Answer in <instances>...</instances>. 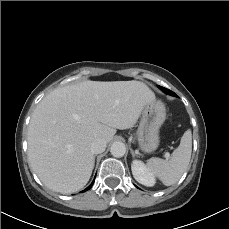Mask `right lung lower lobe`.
I'll return each instance as SVG.
<instances>
[{
    "label": "right lung lower lobe",
    "instance_id": "98d812e1",
    "mask_svg": "<svg viewBox=\"0 0 229 229\" xmlns=\"http://www.w3.org/2000/svg\"><path fill=\"white\" fill-rule=\"evenodd\" d=\"M93 183H94V181L91 183V185L90 186H88L84 191H86V190H88V189H90L91 187H92V185H93Z\"/></svg>",
    "mask_w": 229,
    "mask_h": 229
}]
</instances>
